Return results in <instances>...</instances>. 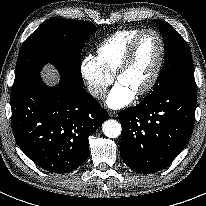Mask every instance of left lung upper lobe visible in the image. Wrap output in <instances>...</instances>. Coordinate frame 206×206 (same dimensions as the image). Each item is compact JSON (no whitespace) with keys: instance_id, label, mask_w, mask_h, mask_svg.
I'll return each instance as SVG.
<instances>
[{"instance_id":"left-lung-upper-lobe-1","label":"left lung upper lobe","mask_w":206,"mask_h":206,"mask_svg":"<svg viewBox=\"0 0 206 206\" xmlns=\"http://www.w3.org/2000/svg\"><path fill=\"white\" fill-rule=\"evenodd\" d=\"M161 31L165 46V62L153 91L146 96L153 97L181 86L196 87L194 67L189 47L182 36L169 24L153 20Z\"/></svg>"}]
</instances>
